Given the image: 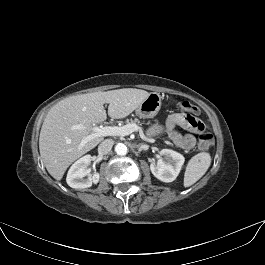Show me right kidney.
Segmentation results:
<instances>
[{"label":"right kidney","instance_id":"ca27d5eb","mask_svg":"<svg viewBox=\"0 0 265 265\" xmlns=\"http://www.w3.org/2000/svg\"><path fill=\"white\" fill-rule=\"evenodd\" d=\"M92 156L85 155L78 159L69 169L66 182L75 189H83L91 187L92 184H97L100 179L99 173L90 174L91 169L87 166L91 163ZM87 177V178H85Z\"/></svg>","mask_w":265,"mask_h":265}]
</instances>
